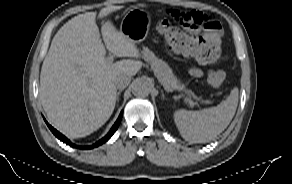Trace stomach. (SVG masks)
<instances>
[{
	"mask_svg": "<svg viewBox=\"0 0 292 184\" xmlns=\"http://www.w3.org/2000/svg\"><path fill=\"white\" fill-rule=\"evenodd\" d=\"M150 24L151 15L149 12L139 8H132L124 16L120 32L134 43H140L147 37Z\"/></svg>",
	"mask_w": 292,
	"mask_h": 184,
	"instance_id": "1",
	"label": "stomach"
}]
</instances>
